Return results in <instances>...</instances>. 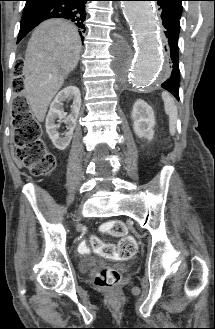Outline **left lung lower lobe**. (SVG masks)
I'll return each mask as SVG.
<instances>
[{
  "instance_id": "1",
  "label": "left lung lower lobe",
  "mask_w": 215,
  "mask_h": 329,
  "mask_svg": "<svg viewBox=\"0 0 215 329\" xmlns=\"http://www.w3.org/2000/svg\"><path fill=\"white\" fill-rule=\"evenodd\" d=\"M158 2L164 31L166 35L165 51L167 52V79L161 87L172 93L179 100V47L178 39L180 33V18L182 11L176 8L167 0H155Z\"/></svg>"
}]
</instances>
